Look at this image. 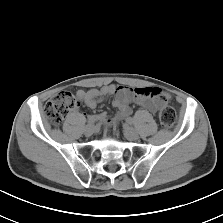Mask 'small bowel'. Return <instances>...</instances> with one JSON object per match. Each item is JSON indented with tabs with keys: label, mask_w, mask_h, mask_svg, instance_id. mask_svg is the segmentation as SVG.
<instances>
[{
	"label": "small bowel",
	"mask_w": 223,
	"mask_h": 223,
	"mask_svg": "<svg viewBox=\"0 0 223 223\" xmlns=\"http://www.w3.org/2000/svg\"><path fill=\"white\" fill-rule=\"evenodd\" d=\"M109 96H114L112 104L117 108L116 114L112 118H108L105 112H101L95 117L100 123L110 126L117 125L131 114V103H135L149 112H155L163 101L169 99L168 94L153 87L131 88L109 84L101 88L77 91V97L90 109L96 108L99 101Z\"/></svg>",
	"instance_id": "obj_1"
}]
</instances>
